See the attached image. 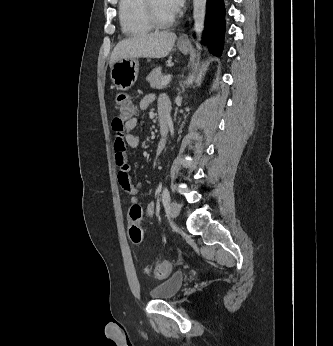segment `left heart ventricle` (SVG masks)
Masks as SVG:
<instances>
[{"instance_id": "b2bd125f", "label": "left heart ventricle", "mask_w": 333, "mask_h": 346, "mask_svg": "<svg viewBox=\"0 0 333 346\" xmlns=\"http://www.w3.org/2000/svg\"><path fill=\"white\" fill-rule=\"evenodd\" d=\"M157 14L161 18H168L172 14L166 9L163 0H153Z\"/></svg>"}]
</instances>
